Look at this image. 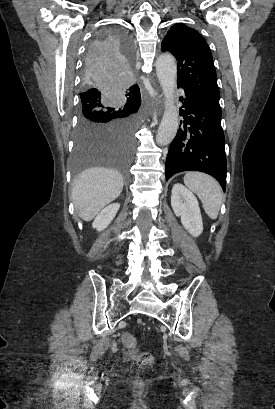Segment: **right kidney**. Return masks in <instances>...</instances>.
<instances>
[{
  "label": "right kidney",
  "instance_id": "obj_1",
  "mask_svg": "<svg viewBox=\"0 0 275 409\" xmlns=\"http://www.w3.org/2000/svg\"><path fill=\"white\" fill-rule=\"evenodd\" d=\"M119 207V202H112V205L105 207V209L97 215L96 219H94L92 223L93 229H96V231H104V229L110 225L111 221H113L114 217H116Z\"/></svg>",
  "mask_w": 275,
  "mask_h": 409
}]
</instances>
